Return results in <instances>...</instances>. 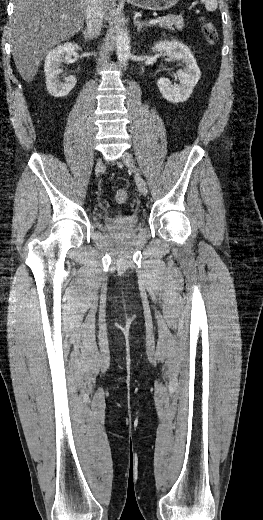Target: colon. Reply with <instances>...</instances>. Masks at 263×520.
Returning <instances> with one entry per match:
<instances>
[{
	"mask_svg": "<svg viewBox=\"0 0 263 520\" xmlns=\"http://www.w3.org/2000/svg\"><path fill=\"white\" fill-rule=\"evenodd\" d=\"M200 23H201V30L205 37V40L207 41L208 44L214 45L218 40V33H217V30H216L214 24L205 18H201ZM127 197H128V195H127V191L125 189H119L116 192L115 198H116V201L120 204L125 203L127 200Z\"/></svg>",
	"mask_w": 263,
	"mask_h": 520,
	"instance_id": "obj_1",
	"label": "colon"
}]
</instances>
